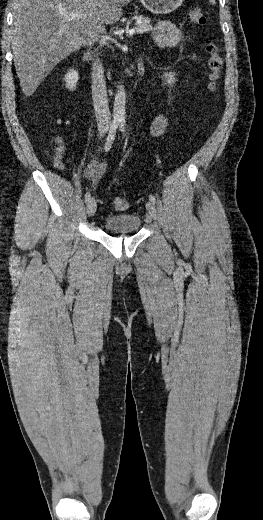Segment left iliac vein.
<instances>
[{"instance_id":"obj_1","label":"left iliac vein","mask_w":263,"mask_h":520,"mask_svg":"<svg viewBox=\"0 0 263 520\" xmlns=\"http://www.w3.org/2000/svg\"><path fill=\"white\" fill-rule=\"evenodd\" d=\"M146 209H147L149 215H150L153 219H156V218H157L156 207H155V205H154L151 201H148V202L146 203Z\"/></svg>"}]
</instances>
